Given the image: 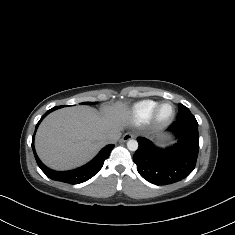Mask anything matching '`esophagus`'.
Here are the masks:
<instances>
[{"label": "esophagus", "instance_id": "esophagus-1", "mask_svg": "<svg viewBox=\"0 0 235 235\" xmlns=\"http://www.w3.org/2000/svg\"><path fill=\"white\" fill-rule=\"evenodd\" d=\"M134 137H135V135H134L133 133H131V132H126V133L122 136V138L120 139L119 142H126V141H128V140H130V139H132V138H134Z\"/></svg>", "mask_w": 235, "mask_h": 235}]
</instances>
